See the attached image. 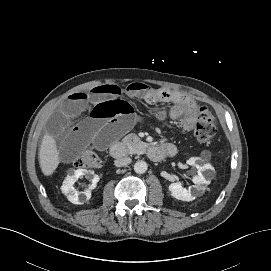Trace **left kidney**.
<instances>
[{"instance_id": "1", "label": "left kidney", "mask_w": 271, "mask_h": 271, "mask_svg": "<svg viewBox=\"0 0 271 271\" xmlns=\"http://www.w3.org/2000/svg\"><path fill=\"white\" fill-rule=\"evenodd\" d=\"M197 158L191 157L187 163L189 165H195L198 168L197 174L193 177L192 181L195 184L194 187L198 190H204L205 187L210 183L209 179H206L202 172L206 170L213 171V167L210 164H204L202 166L197 165ZM209 175V173H207ZM169 191L171 192L172 197L182 200V201H191L193 199V196L191 194L190 188H184L180 183H171L169 185Z\"/></svg>"}]
</instances>
